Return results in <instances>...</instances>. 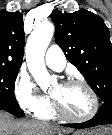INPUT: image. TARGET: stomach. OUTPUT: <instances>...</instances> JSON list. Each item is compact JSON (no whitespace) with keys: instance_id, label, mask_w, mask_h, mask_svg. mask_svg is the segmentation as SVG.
<instances>
[{"instance_id":"obj_1","label":"stomach","mask_w":112,"mask_h":135,"mask_svg":"<svg viewBox=\"0 0 112 135\" xmlns=\"http://www.w3.org/2000/svg\"><path fill=\"white\" fill-rule=\"evenodd\" d=\"M107 128L97 129L91 132H76L73 135H110Z\"/></svg>"}]
</instances>
